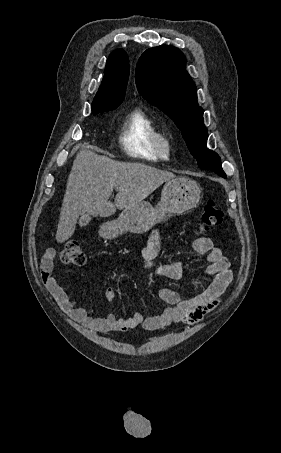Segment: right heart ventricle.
I'll return each instance as SVG.
<instances>
[{
	"label": "right heart ventricle",
	"instance_id": "right-heart-ventricle-1",
	"mask_svg": "<svg viewBox=\"0 0 281 453\" xmlns=\"http://www.w3.org/2000/svg\"><path fill=\"white\" fill-rule=\"evenodd\" d=\"M164 135L156 123L141 109L131 110L125 117L120 134L123 150L147 161L161 159L158 138Z\"/></svg>",
	"mask_w": 281,
	"mask_h": 453
}]
</instances>
